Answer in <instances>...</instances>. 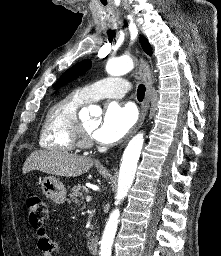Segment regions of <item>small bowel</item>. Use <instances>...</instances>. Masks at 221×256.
<instances>
[{"label":"small bowel","mask_w":221,"mask_h":256,"mask_svg":"<svg viewBox=\"0 0 221 256\" xmlns=\"http://www.w3.org/2000/svg\"><path fill=\"white\" fill-rule=\"evenodd\" d=\"M37 245L42 252V256H53V254L61 256L60 247L45 233L44 230L38 231Z\"/></svg>","instance_id":"c3829d8e"}]
</instances>
